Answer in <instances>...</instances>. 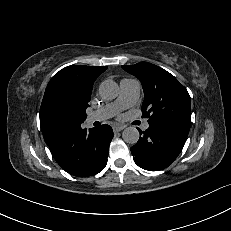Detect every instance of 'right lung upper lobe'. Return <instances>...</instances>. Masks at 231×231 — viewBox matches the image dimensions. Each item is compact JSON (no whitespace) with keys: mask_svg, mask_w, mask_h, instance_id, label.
Listing matches in <instances>:
<instances>
[{"mask_svg":"<svg viewBox=\"0 0 231 231\" xmlns=\"http://www.w3.org/2000/svg\"><path fill=\"white\" fill-rule=\"evenodd\" d=\"M106 69L71 65L52 77L40 108V125L48 146L63 139L69 128L86 119L93 83Z\"/></svg>","mask_w":231,"mask_h":231,"instance_id":"1","label":"right lung upper lobe"}]
</instances>
